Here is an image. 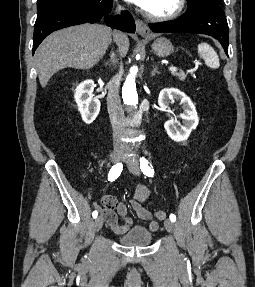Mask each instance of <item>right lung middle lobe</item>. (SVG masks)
<instances>
[{
  "label": "right lung middle lobe",
  "instance_id": "right-lung-middle-lobe-1",
  "mask_svg": "<svg viewBox=\"0 0 255 287\" xmlns=\"http://www.w3.org/2000/svg\"><path fill=\"white\" fill-rule=\"evenodd\" d=\"M113 5V0H38L37 17L52 11L69 8H89L97 13H104Z\"/></svg>",
  "mask_w": 255,
  "mask_h": 287
}]
</instances>
